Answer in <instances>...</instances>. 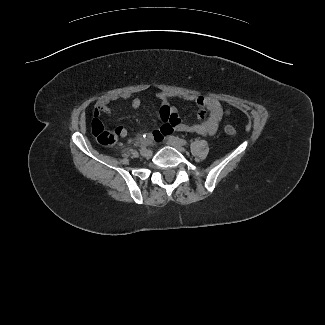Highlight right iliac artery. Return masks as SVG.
Segmentation results:
<instances>
[{
	"mask_svg": "<svg viewBox=\"0 0 325 325\" xmlns=\"http://www.w3.org/2000/svg\"><path fill=\"white\" fill-rule=\"evenodd\" d=\"M145 150H146V148L142 146V147L140 148V153L144 152Z\"/></svg>",
	"mask_w": 325,
	"mask_h": 325,
	"instance_id": "obj_1",
	"label": "right iliac artery"
}]
</instances>
